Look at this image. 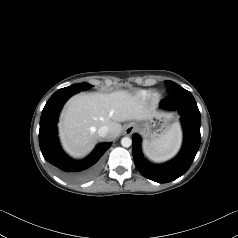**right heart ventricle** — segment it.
<instances>
[{"mask_svg": "<svg viewBox=\"0 0 238 238\" xmlns=\"http://www.w3.org/2000/svg\"><path fill=\"white\" fill-rule=\"evenodd\" d=\"M138 95L141 99H147L150 96V91L143 90V91L139 92Z\"/></svg>", "mask_w": 238, "mask_h": 238, "instance_id": "right-heart-ventricle-1", "label": "right heart ventricle"}]
</instances>
